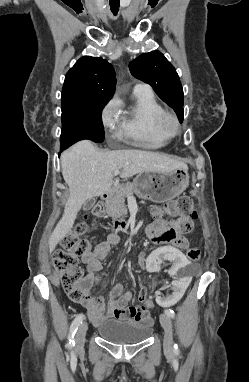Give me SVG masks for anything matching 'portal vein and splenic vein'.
Instances as JSON below:
<instances>
[{"label": "portal vein and splenic vein", "mask_w": 249, "mask_h": 382, "mask_svg": "<svg viewBox=\"0 0 249 382\" xmlns=\"http://www.w3.org/2000/svg\"><path fill=\"white\" fill-rule=\"evenodd\" d=\"M119 173H120L119 170H115V171H114V175H118Z\"/></svg>", "instance_id": "portal-vein-and-splenic-vein-1"}]
</instances>
